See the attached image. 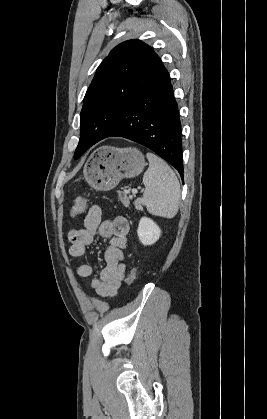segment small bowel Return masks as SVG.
Instances as JSON below:
<instances>
[{
  "label": "small bowel",
  "mask_w": 267,
  "mask_h": 419,
  "mask_svg": "<svg viewBox=\"0 0 267 419\" xmlns=\"http://www.w3.org/2000/svg\"><path fill=\"white\" fill-rule=\"evenodd\" d=\"M129 223L124 217L113 220H102V210L98 205H92L84 218V227L71 229L68 238L71 243L69 254L72 257L87 255L88 247L98 234L109 239V245L104 253L105 266L100 270L98 278H92L89 286L102 297H112L117 294L125 277V250L128 246L127 236ZM97 266L90 263L80 265L76 273L81 278L91 277Z\"/></svg>",
  "instance_id": "obj_1"
}]
</instances>
